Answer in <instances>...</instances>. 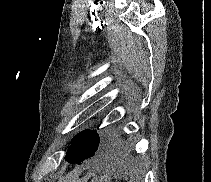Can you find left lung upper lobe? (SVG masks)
I'll return each instance as SVG.
<instances>
[{
	"label": "left lung upper lobe",
	"instance_id": "obj_1",
	"mask_svg": "<svg viewBox=\"0 0 211 182\" xmlns=\"http://www.w3.org/2000/svg\"><path fill=\"white\" fill-rule=\"evenodd\" d=\"M100 139L96 131L86 130L77 134L71 141L65 160L70 163H81L92 157L98 149Z\"/></svg>",
	"mask_w": 211,
	"mask_h": 182
}]
</instances>
